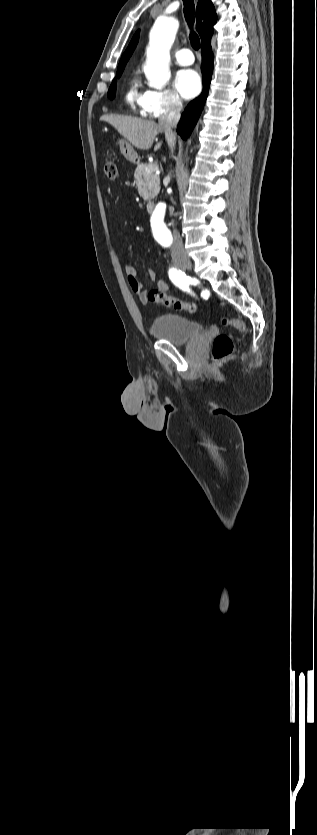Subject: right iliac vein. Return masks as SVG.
<instances>
[{
    "label": "right iliac vein",
    "mask_w": 317,
    "mask_h": 835,
    "mask_svg": "<svg viewBox=\"0 0 317 835\" xmlns=\"http://www.w3.org/2000/svg\"><path fill=\"white\" fill-rule=\"evenodd\" d=\"M174 263H175V266L177 268H180L182 270H191L192 269V263H191L190 259L187 258V257L177 258V259H175Z\"/></svg>",
    "instance_id": "1"
}]
</instances>
